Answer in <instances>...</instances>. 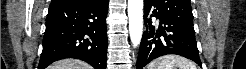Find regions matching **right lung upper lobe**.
I'll list each match as a JSON object with an SVG mask.
<instances>
[{
	"label": "right lung upper lobe",
	"instance_id": "1",
	"mask_svg": "<svg viewBox=\"0 0 246 69\" xmlns=\"http://www.w3.org/2000/svg\"><path fill=\"white\" fill-rule=\"evenodd\" d=\"M99 0H52L50 5H60V4H89V3H95Z\"/></svg>",
	"mask_w": 246,
	"mask_h": 69
}]
</instances>
